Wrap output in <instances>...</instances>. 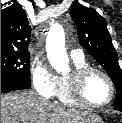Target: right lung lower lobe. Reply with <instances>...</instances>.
Masks as SVG:
<instances>
[{
  "instance_id": "obj_1",
  "label": "right lung lower lobe",
  "mask_w": 122,
  "mask_h": 123,
  "mask_svg": "<svg viewBox=\"0 0 122 123\" xmlns=\"http://www.w3.org/2000/svg\"><path fill=\"white\" fill-rule=\"evenodd\" d=\"M31 87L29 82H24L13 77L1 75V93L29 89Z\"/></svg>"
}]
</instances>
